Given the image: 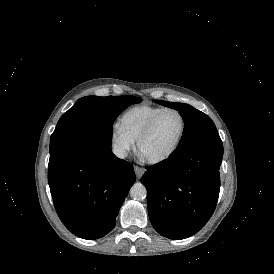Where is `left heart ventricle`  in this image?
<instances>
[{
	"label": "left heart ventricle",
	"instance_id": "1",
	"mask_svg": "<svg viewBox=\"0 0 274 274\" xmlns=\"http://www.w3.org/2000/svg\"><path fill=\"white\" fill-rule=\"evenodd\" d=\"M181 124V118L177 113L166 112L142 142L141 157L157 159L167 154L180 132Z\"/></svg>",
	"mask_w": 274,
	"mask_h": 274
}]
</instances>
